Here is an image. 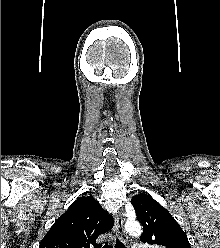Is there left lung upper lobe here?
Wrapping results in <instances>:
<instances>
[{
    "instance_id": "left-lung-upper-lobe-1",
    "label": "left lung upper lobe",
    "mask_w": 220,
    "mask_h": 248,
    "mask_svg": "<svg viewBox=\"0 0 220 248\" xmlns=\"http://www.w3.org/2000/svg\"><path fill=\"white\" fill-rule=\"evenodd\" d=\"M131 203L143 226L140 240L159 248H190L187 235L172 215L150 195H135Z\"/></svg>"
}]
</instances>
